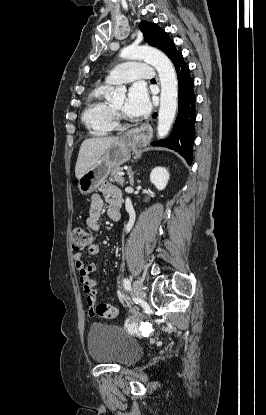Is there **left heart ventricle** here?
I'll use <instances>...</instances> for the list:
<instances>
[{
    "mask_svg": "<svg viewBox=\"0 0 266 415\" xmlns=\"http://www.w3.org/2000/svg\"><path fill=\"white\" fill-rule=\"evenodd\" d=\"M126 102V97L122 96L120 99H118L113 106L121 111H124V106Z\"/></svg>",
    "mask_w": 266,
    "mask_h": 415,
    "instance_id": "1",
    "label": "left heart ventricle"
}]
</instances>
